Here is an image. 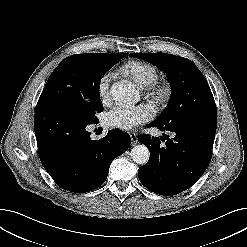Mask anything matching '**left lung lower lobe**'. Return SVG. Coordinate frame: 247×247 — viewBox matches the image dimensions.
Instances as JSON below:
<instances>
[{"mask_svg": "<svg viewBox=\"0 0 247 247\" xmlns=\"http://www.w3.org/2000/svg\"><path fill=\"white\" fill-rule=\"evenodd\" d=\"M216 125L205 122L180 123L166 127L152 121L148 126L173 132L170 139L138 136L150 150L149 161L139 168L140 182L160 195H175L190 188L209 165L216 133ZM167 136L166 141L163 138Z\"/></svg>", "mask_w": 247, "mask_h": 247, "instance_id": "obj_1", "label": "left lung lower lobe"}]
</instances>
